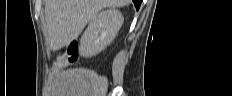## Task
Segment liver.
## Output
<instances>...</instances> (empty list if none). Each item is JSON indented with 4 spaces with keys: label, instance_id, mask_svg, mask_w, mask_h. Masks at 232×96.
Returning a JSON list of instances; mask_svg holds the SVG:
<instances>
[{
    "label": "liver",
    "instance_id": "liver-1",
    "mask_svg": "<svg viewBox=\"0 0 232 96\" xmlns=\"http://www.w3.org/2000/svg\"><path fill=\"white\" fill-rule=\"evenodd\" d=\"M130 2L131 0H46V40L49 48L57 51L69 45L101 9L123 7Z\"/></svg>",
    "mask_w": 232,
    "mask_h": 96
}]
</instances>
